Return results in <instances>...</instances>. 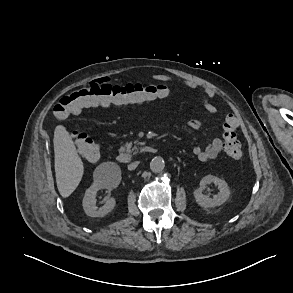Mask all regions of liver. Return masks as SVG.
Here are the masks:
<instances>
[{"mask_svg":"<svg viewBox=\"0 0 293 293\" xmlns=\"http://www.w3.org/2000/svg\"><path fill=\"white\" fill-rule=\"evenodd\" d=\"M53 142L57 188L60 195L66 198L79 185L84 166L71 135L63 125L56 127Z\"/></svg>","mask_w":293,"mask_h":293,"instance_id":"6515ba94","label":"liver"}]
</instances>
